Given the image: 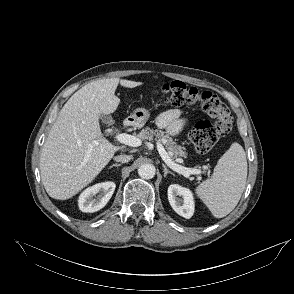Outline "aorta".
Wrapping results in <instances>:
<instances>
[{"label":"aorta","instance_id":"obj_1","mask_svg":"<svg viewBox=\"0 0 294 294\" xmlns=\"http://www.w3.org/2000/svg\"><path fill=\"white\" fill-rule=\"evenodd\" d=\"M155 166L150 163H145L139 166L138 174L143 179H152L155 176Z\"/></svg>","mask_w":294,"mask_h":294}]
</instances>
